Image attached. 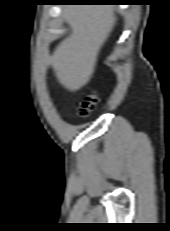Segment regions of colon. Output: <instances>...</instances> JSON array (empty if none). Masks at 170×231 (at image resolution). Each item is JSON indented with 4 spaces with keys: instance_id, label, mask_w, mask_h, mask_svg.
I'll list each match as a JSON object with an SVG mask.
<instances>
[{
    "instance_id": "obj_1",
    "label": "colon",
    "mask_w": 170,
    "mask_h": 231,
    "mask_svg": "<svg viewBox=\"0 0 170 231\" xmlns=\"http://www.w3.org/2000/svg\"><path fill=\"white\" fill-rule=\"evenodd\" d=\"M97 102H98L97 94L93 93L88 95L81 104L80 114L83 117L89 116L92 110L94 109V107L96 106Z\"/></svg>"
}]
</instances>
